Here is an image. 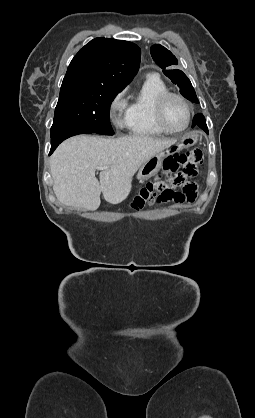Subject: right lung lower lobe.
Returning <instances> with one entry per match:
<instances>
[{
    "label": "right lung lower lobe",
    "instance_id": "obj_1",
    "mask_svg": "<svg viewBox=\"0 0 255 418\" xmlns=\"http://www.w3.org/2000/svg\"><path fill=\"white\" fill-rule=\"evenodd\" d=\"M78 134H94L92 132H88V131H79V130H74V131H67V132H62L59 134H56L55 136L51 137V150H50V154H52V152L57 148V146L65 139L74 136V135H78Z\"/></svg>",
    "mask_w": 255,
    "mask_h": 418
}]
</instances>
